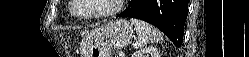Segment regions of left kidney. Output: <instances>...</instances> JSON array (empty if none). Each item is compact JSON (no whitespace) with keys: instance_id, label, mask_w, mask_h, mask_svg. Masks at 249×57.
<instances>
[{"instance_id":"5707ae66","label":"left kidney","mask_w":249,"mask_h":57,"mask_svg":"<svg viewBox=\"0 0 249 57\" xmlns=\"http://www.w3.org/2000/svg\"><path fill=\"white\" fill-rule=\"evenodd\" d=\"M132 57H161L159 51L154 47H147L135 51Z\"/></svg>"}]
</instances>
